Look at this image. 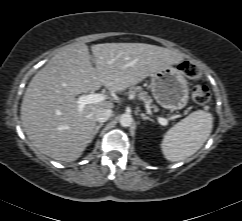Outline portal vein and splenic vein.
<instances>
[{
  "mask_svg": "<svg viewBox=\"0 0 242 221\" xmlns=\"http://www.w3.org/2000/svg\"><path fill=\"white\" fill-rule=\"evenodd\" d=\"M105 99H106V96L104 94H99V93L82 95L77 99L78 110L79 112H82L85 105L99 103L104 101ZM158 121L161 125H164V126L168 124V120L162 117H158Z\"/></svg>",
  "mask_w": 242,
  "mask_h": 221,
  "instance_id": "portal-vein-and-splenic-vein-1",
  "label": "portal vein and splenic vein"
}]
</instances>
